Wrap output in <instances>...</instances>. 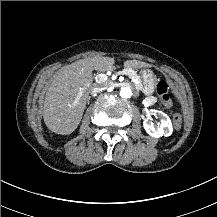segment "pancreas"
Segmentation results:
<instances>
[{
    "label": "pancreas",
    "instance_id": "pancreas-1",
    "mask_svg": "<svg viewBox=\"0 0 217 217\" xmlns=\"http://www.w3.org/2000/svg\"><path fill=\"white\" fill-rule=\"evenodd\" d=\"M125 73H128V74L131 75L133 78H137V79H138V76H136V75H135L133 72H131V71L125 70ZM138 80H139V79H138ZM136 88H137V89H141V88H142L141 83L136 84Z\"/></svg>",
    "mask_w": 217,
    "mask_h": 217
}]
</instances>
